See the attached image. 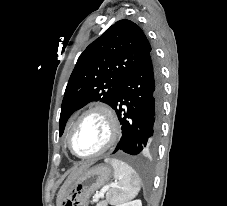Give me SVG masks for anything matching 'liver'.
<instances>
[{"label":"liver","mask_w":227,"mask_h":206,"mask_svg":"<svg viewBox=\"0 0 227 206\" xmlns=\"http://www.w3.org/2000/svg\"><path fill=\"white\" fill-rule=\"evenodd\" d=\"M91 164H84L81 167L75 169L72 171V173L68 176L65 183L62 185L58 196H57V202L59 203L62 199V197L68 192L69 188L72 186V184L76 181V179L85 172Z\"/></svg>","instance_id":"6515ba94"}]
</instances>
